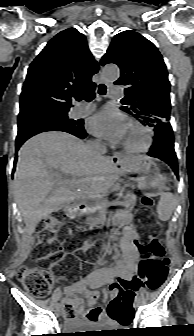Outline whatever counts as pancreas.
<instances>
[{
  "instance_id": "1",
  "label": "pancreas",
  "mask_w": 194,
  "mask_h": 336,
  "mask_svg": "<svg viewBox=\"0 0 194 336\" xmlns=\"http://www.w3.org/2000/svg\"><path fill=\"white\" fill-rule=\"evenodd\" d=\"M133 204H134L133 200L127 197L126 195H123V198L119 200L112 198L109 204L103 203V208L102 209L98 208V210L95 212V218L98 220L97 224L104 226L108 221V218H110V215H112V213H115V211L117 213L120 212L125 213L126 211H130L132 209L131 205ZM106 210L112 211L109 212V215H107V217H105Z\"/></svg>"
}]
</instances>
